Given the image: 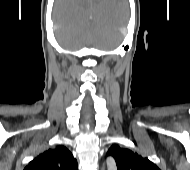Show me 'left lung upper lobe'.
Segmentation results:
<instances>
[{
	"instance_id": "5c2ea615",
	"label": "left lung upper lobe",
	"mask_w": 190,
	"mask_h": 170,
	"mask_svg": "<svg viewBox=\"0 0 190 170\" xmlns=\"http://www.w3.org/2000/svg\"><path fill=\"white\" fill-rule=\"evenodd\" d=\"M107 155L115 159L117 170H160L148 158L118 145L111 146Z\"/></svg>"
}]
</instances>
